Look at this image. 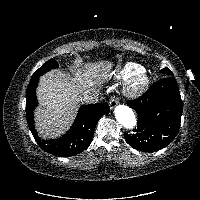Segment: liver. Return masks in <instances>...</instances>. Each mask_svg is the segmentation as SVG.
Segmentation results:
<instances>
[{
    "mask_svg": "<svg viewBox=\"0 0 200 200\" xmlns=\"http://www.w3.org/2000/svg\"><path fill=\"white\" fill-rule=\"evenodd\" d=\"M112 63L99 62L85 64V70L74 69V76L69 77L60 70H52L40 78L37 98L40 106L35 111V123L39 135L57 138L72 123L83 91L94 90L96 78L109 76Z\"/></svg>",
    "mask_w": 200,
    "mask_h": 200,
    "instance_id": "obj_1",
    "label": "liver"
}]
</instances>
